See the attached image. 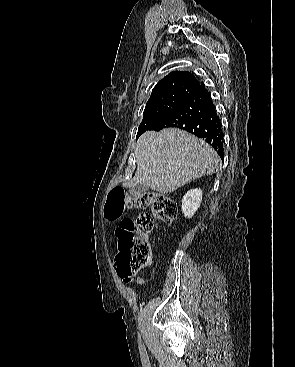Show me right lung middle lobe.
<instances>
[{"label": "right lung middle lobe", "instance_id": "obj_1", "mask_svg": "<svg viewBox=\"0 0 295 367\" xmlns=\"http://www.w3.org/2000/svg\"><path fill=\"white\" fill-rule=\"evenodd\" d=\"M194 92V90L187 88H172L153 93L146 104L143 120L138 128L137 138L146 130H152Z\"/></svg>", "mask_w": 295, "mask_h": 367}]
</instances>
